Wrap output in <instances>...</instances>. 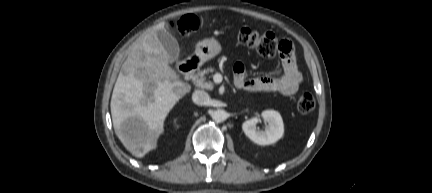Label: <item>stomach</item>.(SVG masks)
<instances>
[{
  "label": "stomach",
  "instance_id": "stomach-1",
  "mask_svg": "<svg viewBox=\"0 0 432 193\" xmlns=\"http://www.w3.org/2000/svg\"><path fill=\"white\" fill-rule=\"evenodd\" d=\"M221 52L220 43L213 39H204L197 43L195 47V55L201 62H206Z\"/></svg>",
  "mask_w": 432,
  "mask_h": 193
}]
</instances>
